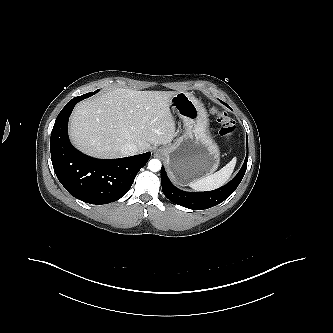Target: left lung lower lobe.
Listing matches in <instances>:
<instances>
[{
	"instance_id": "0a47b994",
	"label": "left lung lower lobe",
	"mask_w": 333,
	"mask_h": 333,
	"mask_svg": "<svg viewBox=\"0 0 333 333\" xmlns=\"http://www.w3.org/2000/svg\"><path fill=\"white\" fill-rule=\"evenodd\" d=\"M224 105L230 108L225 102L221 101ZM248 147V145H247ZM248 161V148L247 155L240 171L228 184L207 192H186L175 187L169 180L164 167L161 168V184L164 195L173 203L193 210H203L220 204L228 198L240 184Z\"/></svg>"
}]
</instances>
